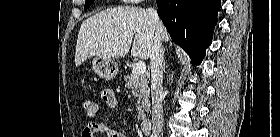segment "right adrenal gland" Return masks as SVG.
<instances>
[{
	"mask_svg": "<svg viewBox=\"0 0 280 137\" xmlns=\"http://www.w3.org/2000/svg\"><path fill=\"white\" fill-rule=\"evenodd\" d=\"M162 55H163V69H164V71H165L164 50H163Z\"/></svg>",
	"mask_w": 280,
	"mask_h": 137,
	"instance_id": "2a0ac1e0",
	"label": "right adrenal gland"
}]
</instances>
